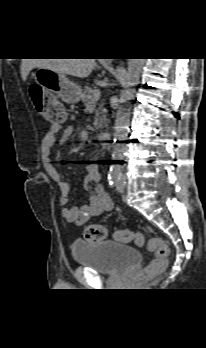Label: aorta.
<instances>
[{
	"label": "aorta",
	"instance_id": "aorta-1",
	"mask_svg": "<svg viewBox=\"0 0 206 348\" xmlns=\"http://www.w3.org/2000/svg\"><path fill=\"white\" fill-rule=\"evenodd\" d=\"M145 59H128L127 72L122 83L120 106L116 114L113 155L122 157L125 152L124 140L127 137L130 122V107L128 103L135 97V87L139 83Z\"/></svg>",
	"mask_w": 206,
	"mask_h": 348
}]
</instances>
